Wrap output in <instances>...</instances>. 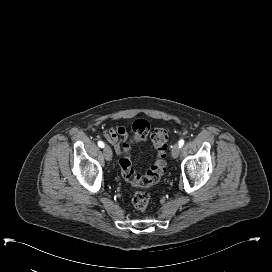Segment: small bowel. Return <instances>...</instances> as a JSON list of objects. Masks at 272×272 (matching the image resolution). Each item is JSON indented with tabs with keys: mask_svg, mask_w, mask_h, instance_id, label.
<instances>
[{
	"mask_svg": "<svg viewBox=\"0 0 272 272\" xmlns=\"http://www.w3.org/2000/svg\"><path fill=\"white\" fill-rule=\"evenodd\" d=\"M105 139L114 146L116 153L121 156L122 145L128 142L129 133L124 126H115L104 131Z\"/></svg>",
	"mask_w": 272,
	"mask_h": 272,
	"instance_id": "1",
	"label": "small bowel"
}]
</instances>
